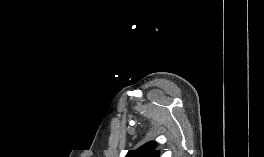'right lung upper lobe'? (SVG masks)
Here are the masks:
<instances>
[{"mask_svg":"<svg viewBox=\"0 0 264 157\" xmlns=\"http://www.w3.org/2000/svg\"><path fill=\"white\" fill-rule=\"evenodd\" d=\"M155 142H148L137 150H130L126 157H159Z\"/></svg>","mask_w":264,"mask_h":157,"instance_id":"obj_1","label":"right lung upper lobe"}]
</instances>
